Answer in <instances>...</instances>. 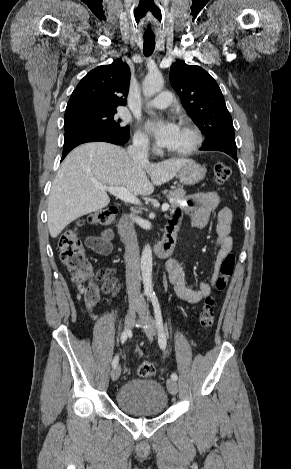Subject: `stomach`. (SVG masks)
<instances>
[{"mask_svg":"<svg viewBox=\"0 0 291 469\" xmlns=\"http://www.w3.org/2000/svg\"><path fill=\"white\" fill-rule=\"evenodd\" d=\"M206 170L194 161L184 165L178 171V179L182 184L194 185L200 182L205 176Z\"/></svg>","mask_w":291,"mask_h":469,"instance_id":"0dacf381","label":"stomach"}]
</instances>
